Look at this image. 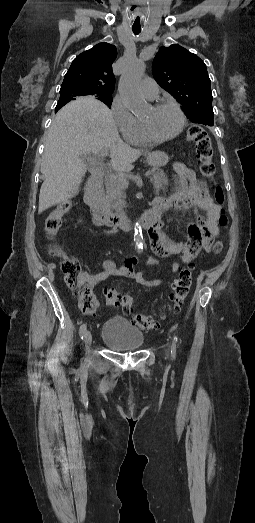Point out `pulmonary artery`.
<instances>
[{
  "label": "pulmonary artery",
  "instance_id": "obj_1",
  "mask_svg": "<svg viewBox=\"0 0 255 523\" xmlns=\"http://www.w3.org/2000/svg\"><path fill=\"white\" fill-rule=\"evenodd\" d=\"M141 91L142 94L148 99L157 98L159 94V89L157 84L155 83V79L153 77H148L146 80H144L141 83Z\"/></svg>",
  "mask_w": 255,
  "mask_h": 523
}]
</instances>
